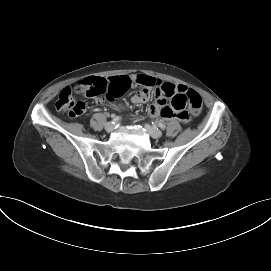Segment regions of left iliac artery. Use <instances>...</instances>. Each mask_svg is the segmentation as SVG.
<instances>
[{"instance_id":"44dca946","label":"left iliac artery","mask_w":271,"mask_h":271,"mask_svg":"<svg viewBox=\"0 0 271 271\" xmlns=\"http://www.w3.org/2000/svg\"><path fill=\"white\" fill-rule=\"evenodd\" d=\"M157 125L162 129L164 130L166 128L165 124L161 123V122H158Z\"/></svg>"}]
</instances>
